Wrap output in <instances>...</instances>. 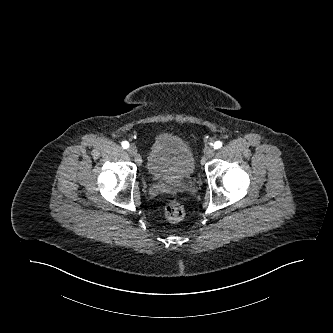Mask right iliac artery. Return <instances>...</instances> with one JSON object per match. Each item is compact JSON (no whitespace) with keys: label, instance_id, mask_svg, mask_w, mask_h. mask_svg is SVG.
Segmentation results:
<instances>
[{"label":"right iliac artery","instance_id":"right-iliac-artery-1","mask_svg":"<svg viewBox=\"0 0 333 333\" xmlns=\"http://www.w3.org/2000/svg\"><path fill=\"white\" fill-rule=\"evenodd\" d=\"M121 145L125 149L129 147V143L127 141H123Z\"/></svg>","mask_w":333,"mask_h":333}]
</instances>
